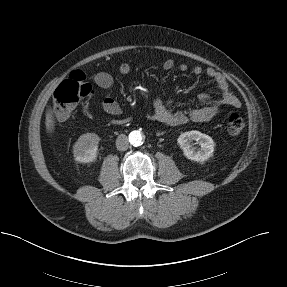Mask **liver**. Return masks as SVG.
<instances>
[{"mask_svg": "<svg viewBox=\"0 0 287 287\" xmlns=\"http://www.w3.org/2000/svg\"><path fill=\"white\" fill-rule=\"evenodd\" d=\"M45 125H46L47 132L51 133L55 126L54 116H53L51 109H47Z\"/></svg>", "mask_w": 287, "mask_h": 287, "instance_id": "obj_1", "label": "liver"}]
</instances>
